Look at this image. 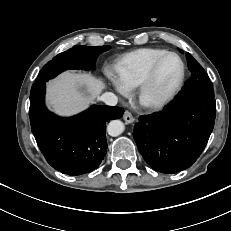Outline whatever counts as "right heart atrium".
<instances>
[{"label": "right heart atrium", "mask_w": 231, "mask_h": 231, "mask_svg": "<svg viewBox=\"0 0 231 231\" xmlns=\"http://www.w3.org/2000/svg\"><path fill=\"white\" fill-rule=\"evenodd\" d=\"M107 76L110 79V81H112L113 85L117 90H119L120 92L125 91V87L122 84H120L117 80H115L110 72H107Z\"/></svg>", "instance_id": "1"}]
</instances>
